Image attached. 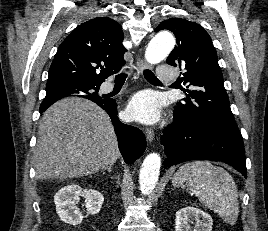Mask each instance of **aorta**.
<instances>
[{"label":"aorta","mask_w":268,"mask_h":231,"mask_svg":"<svg viewBox=\"0 0 268 231\" xmlns=\"http://www.w3.org/2000/svg\"><path fill=\"white\" fill-rule=\"evenodd\" d=\"M175 46V39L169 32L158 33L151 39L145 51V59L150 64L164 60ZM161 157L157 153L147 155L142 163L139 174V185L142 194H150L159 178Z\"/></svg>","instance_id":"762f6f07"}]
</instances>
